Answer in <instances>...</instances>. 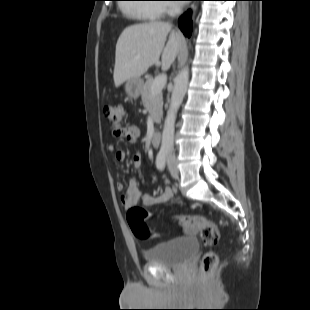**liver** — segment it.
<instances>
[{
    "mask_svg": "<svg viewBox=\"0 0 310 310\" xmlns=\"http://www.w3.org/2000/svg\"><path fill=\"white\" fill-rule=\"evenodd\" d=\"M165 22H149L129 26L118 38L115 52L114 83L120 86L132 78H140L149 67L159 62L169 69L181 47V37ZM170 33L166 43L167 35Z\"/></svg>",
    "mask_w": 310,
    "mask_h": 310,
    "instance_id": "obj_1",
    "label": "liver"
}]
</instances>
